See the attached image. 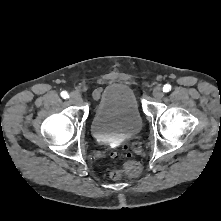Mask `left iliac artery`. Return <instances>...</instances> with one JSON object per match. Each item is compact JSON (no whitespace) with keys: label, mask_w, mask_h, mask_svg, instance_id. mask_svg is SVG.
I'll return each mask as SVG.
<instances>
[{"label":"left iliac artery","mask_w":221,"mask_h":221,"mask_svg":"<svg viewBox=\"0 0 221 221\" xmlns=\"http://www.w3.org/2000/svg\"><path fill=\"white\" fill-rule=\"evenodd\" d=\"M170 90H171V86L170 85H168V84L164 85L163 92H168Z\"/></svg>","instance_id":"44dca946"}]
</instances>
